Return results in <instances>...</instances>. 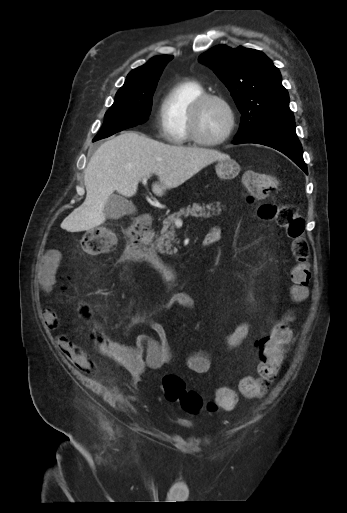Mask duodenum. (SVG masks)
Wrapping results in <instances>:
<instances>
[{"label": "duodenum", "instance_id": "410a0bca", "mask_svg": "<svg viewBox=\"0 0 347 513\" xmlns=\"http://www.w3.org/2000/svg\"><path fill=\"white\" fill-rule=\"evenodd\" d=\"M152 216L149 213L142 214L135 219L133 224L128 228L126 237L128 240L127 253L130 257L139 261L152 262L162 270L170 274L172 281H178L180 274L171 265L159 259L150 249V227ZM218 239L215 233H208L203 239V245L209 246Z\"/></svg>", "mask_w": 347, "mask_h": 513}]
</instances>
